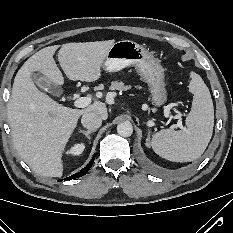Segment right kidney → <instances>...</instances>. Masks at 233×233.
<instances>
[{"label": "right kidney", "instance_id": "right-kidney-1", "mask_svg": "<svg viewBox=\"0 0 233 233\" xmlns=\"http://www.w3.org/2000/svg\"><path fill=\"white\" fill-rule=\"evenodd\" d=\"M85 149V145L83 143H77L71 147L67 153L72 154L73 156H79Z\"/></svg>", "mask_w": 233, "mask_h": 233}]
</instances>
